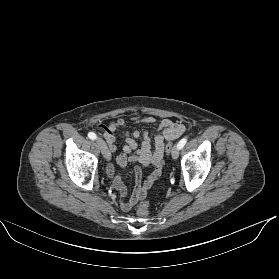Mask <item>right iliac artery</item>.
Segmentation results:
<instances>
[{
	"label": "right iliac artery",
	"instance_id": "right-iliac-artery-1",
	"mask_svg": "<svg viewBox=\"0 0 279 279\" xmlns=\"http://www.w3.org/2000/svg\"><path fill=\"white\" fill-rule=\"evenodd\" d=\"M88 137L91 139V140H95L97 138L96 134L94 132H89L88 133Z\"/></svg>",
	"mask_w": 279,
	"mask_h": 279
}]
</instances>
